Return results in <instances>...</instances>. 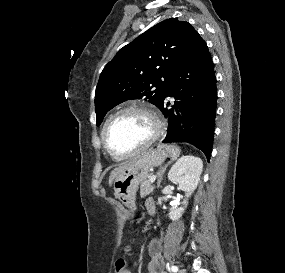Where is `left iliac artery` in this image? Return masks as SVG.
<instances>
[{"label": "left iliac artery", "instance_id": "44dca946", "mask_svg": "<svg viewBox=\"0 0 285 273\" xmlns=\"http://www.w3.org/2000/svg\"><path fill=\"white\" fill-rule=\"evenodd\" d=\"M171 271L172 272H177L178 271V267L177 266H171Z\"/></svg>", "mask_w": 285, "mask_h": 273}]
</instances>
